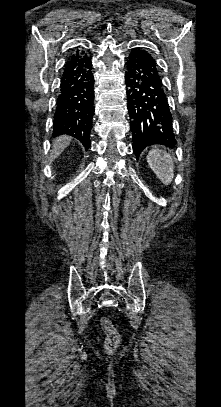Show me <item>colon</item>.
Returning a JSON list of instances; mask_svg holds the SVG:
<instances>
[{
  "instance_id": "colon-1",
  "label": "colon",
  "mask_w": 221,
  "mask_h": 407,
  "mask_svg": "<svg viewBox=\"0 0 221 407\" xmlns=\"http://www.w3.org/2000/svg\"><path fill=\"white\" fill-rule=\"evenodd\" d=\"M101 328L106 335V349L108 352L113 351L120 343L121 336L117 329L108 319L101 321Z\"/></svg>"
}]
</instances>
